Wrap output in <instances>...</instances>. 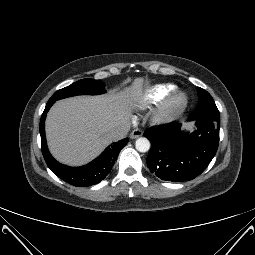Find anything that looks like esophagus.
<instances>
[{
	"label": "esophagus",
	"mask_w": 255,
	"mask_h": 255,
	"mask_svg": "<svg viewBox=\"0 0 255 255\" xmlns=\"http://www.w3.org/2000/svg\"><path fill=\"white\" fill-rule=\"evenodd\" d=\"M143 131L141 129H135L130 133V138L131 139H136L140 136H142Z\"/></svg>",
	"instance_id": "1"
}]
</instances>
